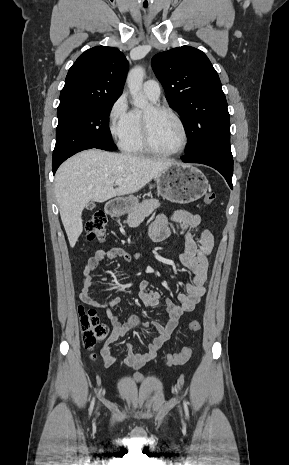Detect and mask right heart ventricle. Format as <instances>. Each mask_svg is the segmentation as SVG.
<instances>
[{
	"label": "right heart ventricle",
	"instance_id": "e07e8e85",
	"mask_svg": "<svg viewBox=\"0 0 289 465\" xmlns=\"http://www.w3.org/2000/svg\"><path fill=\"white\" fill-rule=\"evenodd\" d=\"M142 112L138 109L131 111V127L128 135L121 143V148L128 154L144 155L147 150L142 140Z\"/></svg>",
	"mask_w": 289,
	"mask_h": 465
}]
</instances>
